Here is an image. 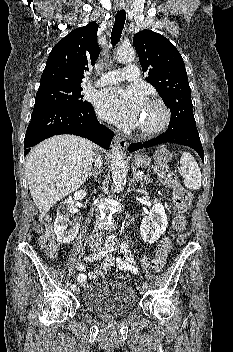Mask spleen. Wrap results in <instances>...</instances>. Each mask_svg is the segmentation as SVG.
<instances>
[{
  "instance_id": "spleen-1",
  "label": "spleen",
  "mask_w": 233,
  "mask_h": 352,
  "mask_svg": "<svg viewBox=\"0 0 233 352\" xmlns=\"http://www.w3.org/2000/svg\"><path fill=\"white\" fill-rule=\"evenodd\" d=\"M180 171L184 178V185L190 190H198L201 187V171L194 157L188 153H182L180 159Z\"/></svg>"
}]
</instances>
